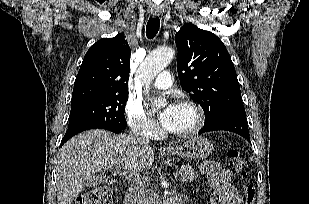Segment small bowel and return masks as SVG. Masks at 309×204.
Here are the masks:
<instances>
[{
	"instance_id": "small-bowel-1",
	"label": "small bowel",
	"mask_w": 309,
	"mask_h": 204,
	"mask_svg": "<svg viewBox=\"0 0 309 204\" xmlns=\"http://www.w3.org/2000/svg\"><path fill=\"white\" fill-rule=\"evenodd\" d=\"M202 171L213 189L211 204H241L243 197L232 184L231 170L222 168L215 161H206L202 164Z\"/></svg>"
}]
</instances>
